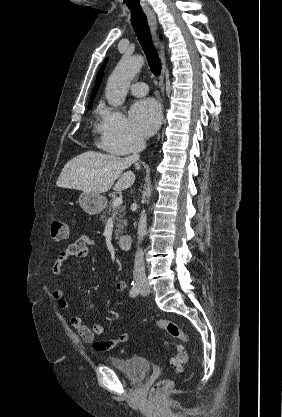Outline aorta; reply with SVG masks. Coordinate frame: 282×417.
I'll return each instance as SVG.
<instances>
[{
  "instance_id": "aorta-1",
  "label": "aorta",
  "mask_w": 282,
  "mask_h": 417,
  "mask_svg": "<svg viewBox=\"0 0 282 417\" xmlns=\"http://www.w3.org/2000/svg\"><path fill=\"white\" fill-rule=\"evenodd\" d=\"M143 64L144 58L141 54H134V56H127V58H121L119 60L106 84L105 96L111 106H121L123 104L128 92L130 80L139 72ZM146 233L147 215L145 211H141L137 227L138 245L143 241Z\"/></svg>"
}]
</instances>
